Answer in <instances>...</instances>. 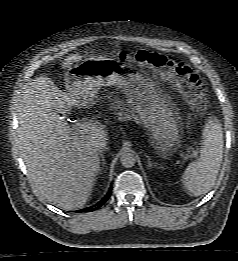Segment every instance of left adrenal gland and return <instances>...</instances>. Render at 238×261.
I'll list each match as a JSON object with an SVG mask.
<instances>
[{
	"label": "left adrenal gland",
	"instance_id": "a2214340",
	"mask_svg": "<svg viewBox=\"0 0 238 261\" xmlns=\"http://www.w3.org/2000/svg\"><path fill=\"white\" fill-rule=\"evenodd\" d=\"M146 157L148 158V167H152V166H156V165H153L152 162L150 161V156L146 155Z\"/></svg>",
	"mask_w": 238,
	"mask_h": 261
}]
</instances>
